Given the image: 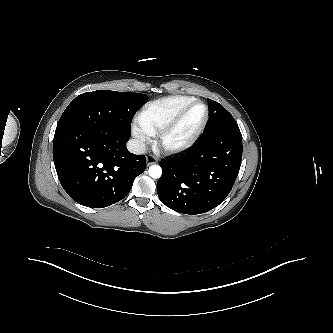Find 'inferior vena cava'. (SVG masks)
Returning <instances> with one entry per match:
<instances>
[{
    "instance_id": "inferior-vena-cava-1",
    "label": "inferior vena cava",
    "mask_w": 333,
    "mask_h": 333,
    "mask_svg": "<svg viewBox=\"0 0 333 333\" xmlns=\"http://www.w3.org/2000/svg\"><path fill=\"white\" fill-rule=\"evenodd\" d=\"M128 150L136 155H141L145 153L146 146L145 143L138 139H130L127 142Z\"/></svg>"
}]
</instances>
